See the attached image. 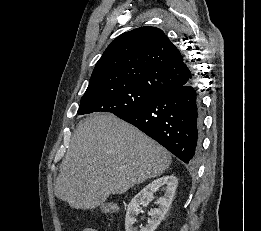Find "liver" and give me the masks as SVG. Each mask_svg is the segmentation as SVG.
Segmentation results:
<instances>
[{
  "mask_svg": "<svg viewBox=\"0 0 261 231\" xmlns=\"http://www.w3.org/2000/svg\"><path fill=\"white\" fill-rule=\"evenodd\" d=\"M169 152L113 114H91L79 123L60 164L55 195L70 207L91 210L111 194L162 175Z\"/></svg>",
  "mask_w": 261,
  "mask_h": 231,
  "instance_id": "obj_1",
  "label": "liver"
}]
</instances>
